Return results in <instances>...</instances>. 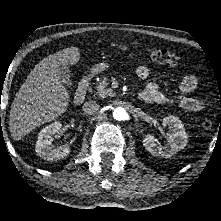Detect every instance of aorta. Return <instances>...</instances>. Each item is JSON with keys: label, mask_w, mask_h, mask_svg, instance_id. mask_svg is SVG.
<instances>
[{"label": "aorta", "mask_w": 221, "mask_h": 221, "mask_svg": "<svg viewBox=\"0 0 221 221\" xmlns=\"http://www.w3.org/2000/svg\"><path fill=\"white\" fill-rule=\"evenodd\" d=\"M127 115L128 114H127L126 110L122 107H116L113 110V117L116 120H119V121L125 120L127 118Z\"/></svg>", "instance_id": "1"}]
</instances>
